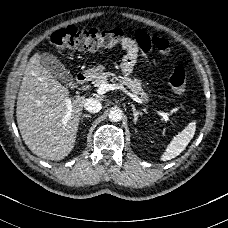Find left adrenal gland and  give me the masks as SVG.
Masks as SVG:
<instances>
[{
    "label": "left adrenal gland",
    "instance_id": "left-adrenal-gland-1",
    "mask_svg": "<svg viewBox=\"0 0 228 228\" xmlns=\"http://www.w3.org/2000/svg\"><path fill=\"white\" fill-rule=\"evenodd\" d=\"M129 104H130V106L132 107L133 116H134L133 121H134V123L136 124V123H137V120H138V115H139V114L141 115L142 112H139L138 110H136L134 104H132V103H129Z\"/></svg>",
    "mask_w": 228,
    "mask_h": 228
}]
</instances>
